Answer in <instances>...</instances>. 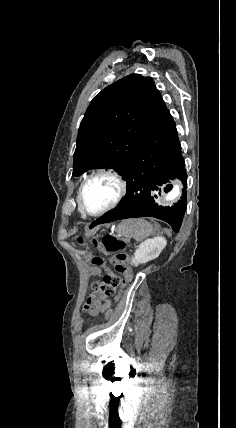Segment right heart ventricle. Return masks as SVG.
<instances>
[{"label":"right heart ventricle","instance_id":"obj_1","mask_svg":"<svg viewBox=\"0 0 236 428\" xmlns=\"http://www.w3.org/2000/svg\"><path fill=\"white\" fill-rule=\"evenodd\" d=\"M78 194L76 193V196H77ZM79 212H80V214H81V216H84V213L82 212V210H81V208L79 207Z\"/></svg>","mask_w":236,"mask_h":428}]
</instances>
